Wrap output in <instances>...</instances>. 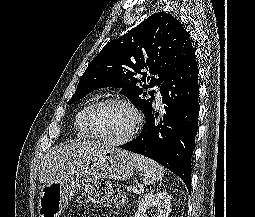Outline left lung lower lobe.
Segmentation results:
<instances>
[{"label": "left lung lower lobe", "instance_id": "1", "mask_svg": "<svg viewBox=\"0 0 255 217\" xmlns=\"http://www.w3.org/2000/svg\"><path fill=\"white\" fill-rule=\"evenodd\" d=\"M199 69L194 48L160 84L166 114L160 123L153 108L145 116L147 126L131 143L120 148L147 156L178 175L190 190L191 157L199 115Z\"/></svg>", "mask_w": 255, "mask_h": 217}]
</instances>
